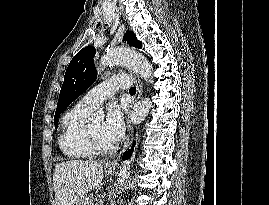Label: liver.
<instances>
[{"label": "liver", "mask_w": 269, "mask_h": 205, "mask_svg": "<svg viewBox=\"0 0 269 205\" xmlns=\"http://www.w3.org/2000/svg\"><path fill=\"white\" fill-rule=\"evenodd\" d=\"M103 172L102 162L71 160L57 164L53 175L56 205H73L78 196L99 186Z\"/></svg>", "instance_id": "6515ba94"}]
</instances>
